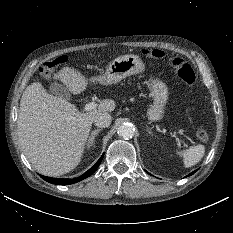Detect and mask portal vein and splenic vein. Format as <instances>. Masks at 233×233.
Here are the masks:
<instances>
[{
	"instance_id": "portal-vein-and-splenic-vein-1",
	"label": "portal vein and splenic vein",
	"mask_w": 233,
	"mask_h": 233,
	"mask_svg": "<svg viewBox=\"0 0 233 233\" xmlns=\"http://www.w3.org/2000/svg\"><path fill=\"white\" fill-rule=\"evenodd\" d=\"M97 107V104L95 102H89L85 105L84 107V111H91V110H95ZM178 133H180L181 135H184L183 134V131L182 130H179ZM173 137L176 138V140L178 141L179 143V146L183 145V146H186L182 140H180L178 137H177V133L176 132H173L171 133Z\"/></svg>"
}]
</instances>
